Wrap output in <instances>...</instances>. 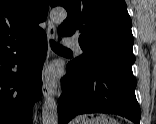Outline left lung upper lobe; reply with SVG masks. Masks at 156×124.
I'll list each match as a JSON object with an SVG mask.
<instances>
[{
    "label": "left lung upper lobe",
    "instance_id": "obj_1",
    "mask_svg": "<svg viewBox=\"0 0 156 124\" xmlns=\"http://www.w3.org/2000/svg\"><path fill=\"white\" fill-rule=\"evenodd\" d=\"M68 16L58 27L61 36H79L83 54L69 62L75 71L89 72L103 64L132 73V22L124 0H50Z\"/></svg>",
    "mask_w": 156,
    "mask_h": 124
}]
</instances>
